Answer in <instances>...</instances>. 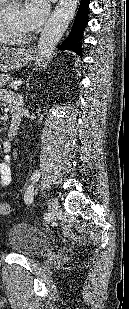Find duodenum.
<instances>
[{
    "mask_svg": "<svg viewBox=\"0 0 129 309\" xmlns=\"http://www.w3.org/2000/svg\"><path fill=\"white\" fill-rule=\"evenodd\" d=\"M16 123H17V119L13 117V125H12L13 127H12V132H13V130H14V128H15V126H16Z\"/></svg>",
    "mask_w": 129,
    "mask_h": 309,
    "instance_id": "410a0bca",
    "label": "duodenum"
}]
</instances>
